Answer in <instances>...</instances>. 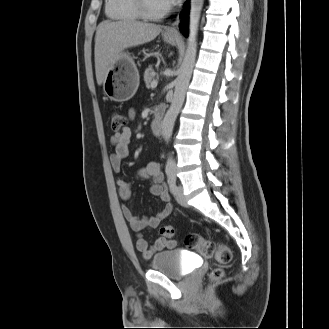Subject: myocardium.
<instances>
[{
	"instance_id": "obj_1",
	"label": "myocardium",
	"mask_w": 329,
	"mask_h": 329,
	"mask_svg": "<svg viewBox=\"0 0 329 329\" xmlns=\"http://www.w3.org/2000/svg\"><path fill=\"white\" fill-rule=\"evenodd\" d=\"M135 4L138 8L139 13L141 14V17L146 20H158L163 18L170 12V7H167L166 9L160 12H153L149 8L146 0H135Z\"/></svg>"
}]
</instances>
